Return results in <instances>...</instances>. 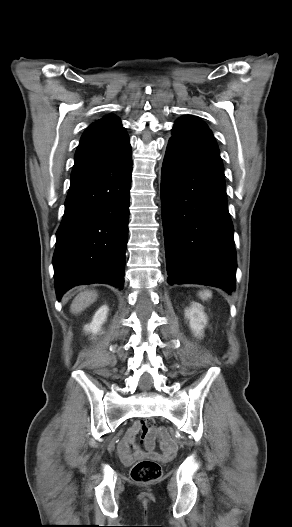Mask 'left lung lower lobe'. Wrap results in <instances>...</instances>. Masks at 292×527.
I'll return each mask as SVG.
<instances>
[{
  "instance_id": "left-lung-lower-lobe-1",
  "label": "left lung lower lobe",
  "mask_w": 292,
  "mask_h": 527,
  "mask_svg": "<svg viewBox=\"0 0 292 527\" xmlns=\"http://www.w3.org/2000/svg\"><path fill=\"white\" fill-rule=\"evenodd\" d=\"M161 209L168 283L232 292L236 256L220 156L169 142Z\"/></svg>"
}]
</instances>
